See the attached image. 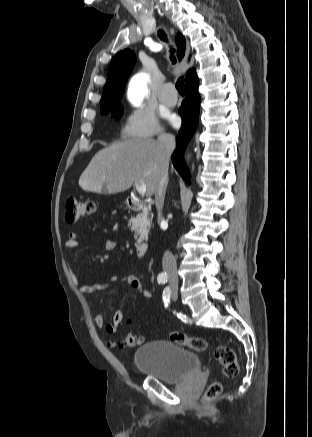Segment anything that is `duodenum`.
<instances>
[{"mask_svg":"<svg viewBox=\"0 0 312 437\" xmlns=\"http://www.w3.org/2000/svg\"><path fill=\"white\" fill-rule=\"evenodd\" d=\"M127 205L132 210L140 211L145 208V204L143 201L132 197L127 199ZM148 248H149L148 242L146 240H142L138 242L136 245V254L139 257H144L148 251Z\"/></svg>","mask_w":312,"mask_h":437,"instance_id":"duodenum-1","label":"duodenum"}]
</instances>
